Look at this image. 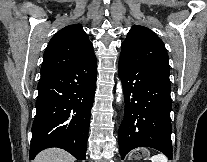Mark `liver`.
<instances>
[{"label":"liver","instance_id":"obj_1","mask_svg":"<svg viewBox=\"0 0 207 162\" xmlns=\"http://www.w3.org/2000/svg\"><path fill=\"white\" fill-rule=\"evenodd\" d=\"M75 158L63 149L49 148L41 151L33 162H74Z\"/></svg>","mask_w":207,"mask_h":162}]
</instances>
